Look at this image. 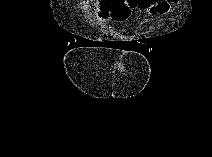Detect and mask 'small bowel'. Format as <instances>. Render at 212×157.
<instances>
[{"instance_id":"small-bowel-1","label":"small bowel","mask_w":212,"mask_h":157,"mask_svg":"<svg viewBox=\"0 0 212 157\" xmlns=\"http://www.w3.org/2000/svg\"><path fill=\"white\" fill-rule=\"evenodd\" d=\"M169 6L168 0H103L98 4L97 18L103 24L109 20L124 22L137 10L162 15L168 12Z\"/></svg>"}]
</instances>
